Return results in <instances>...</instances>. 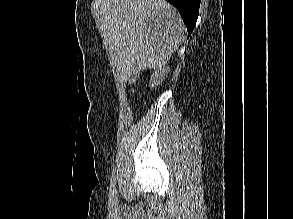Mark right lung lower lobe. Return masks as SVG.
<instances>
[{"label":"right lung lower lobe","instance_id":"right-lung-lower-lobe-1","mask_svg":"<svg viewBox=\"0 0 293 219\" xmlns=\"http://www.w3.org/2000/svg\"><path fill=\"white\" fill-rule=\"evenodd\" d=\"M167 1L170 2L172 5H174L178 9L187 27L188 36H190V34L192 33L196 25V21L199 15V7H200L201 0H167Z\"/></svg>","mask_w":293,"mask_h":219}]
</instances>
